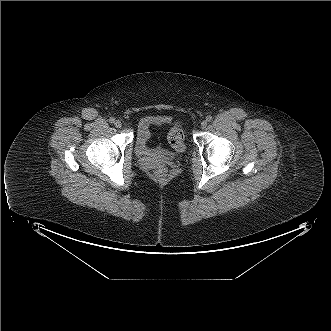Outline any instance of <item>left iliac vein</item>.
<instances>
[{
	"label": "left iliac vein",
	"mask_w": 331,
	"mask_h": 331,
	"mask_svg": "<svg viewBox=\"0 0 331 331\" xmlns=\"http://www.w3.org/2000/svg\"><path fill=\"white\" fill-rule=\"evenodd\" d=\"M206 127H207V121L204 120V121L201 122V128L204 129Z\"/></svg>",
	"instance_id": "obj_1"
}]
</instances>
